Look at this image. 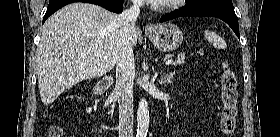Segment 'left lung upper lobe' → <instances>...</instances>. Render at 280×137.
Listing matches in <instances>:
<instances>
[{
	"label": "left lung upper lobe",
	"instance_id": "obj_1",
	"mask_svg": "<svg viewBox=\"0 0 280 137\" xmlns=\"http://www.w3.org/2000/svg\"><path fill=\"white\" fill-rule=\"evenodd\" d=\"M207 4H223L232 6V0H193L190 6L207 5Z\"/></svg>",
	"mask_w": 280,
	"mask_h": 137
}]
</instances>
